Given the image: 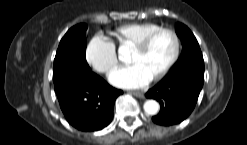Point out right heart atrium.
I'll return each mask as SVG.
<instances>
[{
	"instance_id": "obj_1",
	"label": "right heart atrium",
	"mask_w": 247,
	"mask_h": 145,
	"mask_svg": "<svg viewBox=\"0 0 247 145\" xmlns=\"http://www.w3.org/2000/svg\"><path fill=\"white\" fill-rule=\"evenodd\" d=\"M85 55L87 62L100 73L109 74L118 66L115 45L101 34L89 41Z\"/></svg>"
}]
</instances>
